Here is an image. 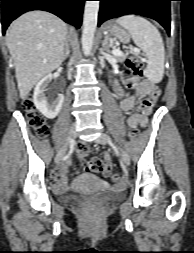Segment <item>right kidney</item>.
Instances as JSON below:
<instances>
[{"instance_id": "ca27d5eb", "label": "right kidney", "mask_w": 194, "mask_h": 253, "mask_svg": "<svg viewBox=\"0 0 194 253\" xmlns=\"http://www.w3.org/2000/svg\"><path fill=\"white\" fill-rule=\"evenodd\" d=\"M51 79V75L42 78L36 85L33 95L35 107L48 119H53L59 114L64 101V96L61 94L55 99L46 97L45 91L51 82Z\"/></svg>"}]
</instances>
